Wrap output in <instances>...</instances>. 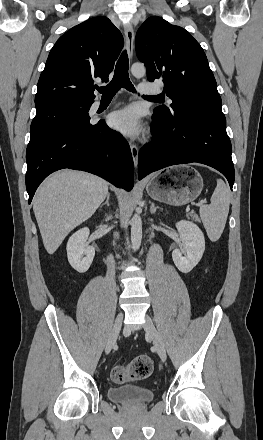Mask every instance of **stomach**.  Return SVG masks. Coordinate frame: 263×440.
Returning <instances> with one entry per match:
<instances>
[{
	"instance_id": "obj_1",
	"label": "stomach",
	"mask_w": 263,
	"mask_h": 440,
	"mask_svg": "<svg viewBox=\"0 0 263 440\" xmlns=\"http://www.w3.org/2000/svg\"><path fill=\"white\" fill-rule=\"evenodd\" d=\"M203 189L199 172L189 166L173 167L162 174H156L147 182L149 196L173 206L194 201Z\"/></svg>"
}]
</instances>
